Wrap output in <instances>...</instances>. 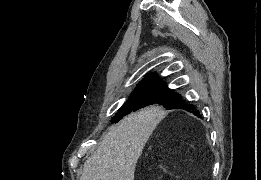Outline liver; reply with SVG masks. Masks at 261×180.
<instances>
[{
	"label": "liver",
	"instance_id": "1",
	"mask_svg": "<svg viewBox=\"0 0 261 180\" xmlns=\"http://www.w3.org/2000/svg\"><path fill=\"white\" fill-rule=\"evenodd\" d=\"M160 108L129 114L104 134L99 148L86 160L81 180H134V170L153 132Z\"/></svg>",
	"mask_w": 261,
	"mask_h": 180
}]
</instances>
